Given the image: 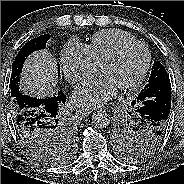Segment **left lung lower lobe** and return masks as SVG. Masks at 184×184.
Masks as SVG:
<instances>
[{
    "label": "left lung lower lobe",
    "mask_w": 184,
    "mask_h": 184,
    "mask_svg": "<svg viewBox=\"0 0 184 184\" xmlns=\"http://www.w3.org/2000/svg\"><path fill=\"white\" fill-rule=\"evenodd\" d=\"M157 88L161 90L156 91ZM133 117L145 127L152 128L158 138L165 135L171 108L170 82L150 86L131 102Z\"/></svg>",
    "instance_id": "obj_1"
}]
</instances>
